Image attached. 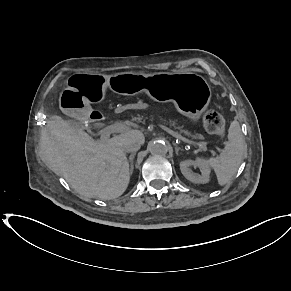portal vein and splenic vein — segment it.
<instances>
[{"label":"portal vein and splenic vein","instance_id":"obj_1","mask_svg":"<svg viewBox=\"0 0 291 291\" xmlns=\"http://www.w3.org/2000/svg\"><path fill=\"white\" fill-rule=\"evenodd\" d=\"M157 126H159L161 129H163L164 131H166L170 135H172V136H174V137H176L178 139L183 140L184 142L196 144V145L200 146L203 150H206V145L203 142H198V143L192 142V141L182 137L179 133L171 130L170 128H168V127H166V126H164L162 124H157ZM130 130H132L130 126L125 125L123 123L117 122V123H114V124H112L110 126L105 127L104 129H102L99 132V134H100L102 140H106L113 133H123V132H127V131H130Z\"/></svg>","mask_w":291,"mask_h":291}]
</instances>
